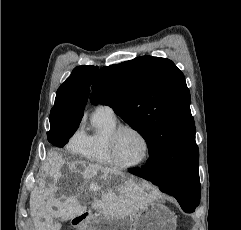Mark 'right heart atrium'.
Returning <instances> with one entry per match:
<instances>
[{"instance_id":"d8ad5b80","label":"right heart atrium","mask_w":241,"mask_h":230,"mask_svg":"<svg viewBox=\"0 0 241 230\" xmlns=\"http://www.w3.org/2000/svg\"><path fill=\"white\" fill-rule=\"evenodd\" d=\"M85 134L78 129L74 132L67 143V147L73 152H79L83 146Z\"/></svg>"}]
</instances>
